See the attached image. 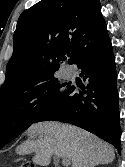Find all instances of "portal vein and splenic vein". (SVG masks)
Returning <instances> with one entry per match:
<instances>
[{
	"label": "portal vein and splenic vein",
	"instance_id": "portal-vein-and-splenic-vein-1",
	"mask_svg": "<svg viewBox=\"0 0 125 167\" xmlns=\"http://www.w3.org/2000/svg\"><path fill=\"white\" fill-rule=\"evenodd\" d=\"M62 164L63 166H69L70 165V160L68 158H63L62 159Z\"/></svg>",
	"mask_w": 125,
	"mask_h": 167
}]
</instances>
